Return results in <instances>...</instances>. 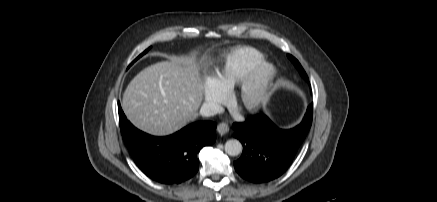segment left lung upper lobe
Wrapping results in <instances>:
<instances>
[{
	"label": "left lung upper lobe",
	"instance_id": "left-lung-upper-lobe-1",
	"mask_svg": "<svg viewBox=\"0 0 437 202\" xmlns=\"http://www.w3.org/2000/svg\"><path fill=\"white\" fill-rule=\"evenodd\" d=\"M288 57L290 58V60L292 61V63L296 66V68L298 69V71L300 72L301 76L308 81V76L305 73L304 69L302 68V66L300 65V63L298 62L297 59H295L292 55H288Z\"/></svg>",
	"mask_w": 437,
	"mask_h": 202
}]
</instances>
